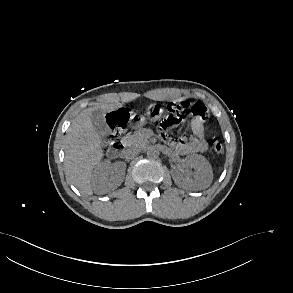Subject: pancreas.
<instances>
[{
    "instance_id": "1",
    "label": "pancreas",
    "mask_w": 293,
    "mask_h": 293,
    "mask_svg": "<svg viewBox=\"0 0 293 293\" xmlns=\"http://www.w3.org/2000/svg\"><path fill=\"white\" fill-rule=\"evenodd\" d=\"M151 131L146 128H140L136 130L132 135H130L126 142L129 146L134 147H143L148 143V139L150 138Z\"/></svg>"
}]
</instances>
